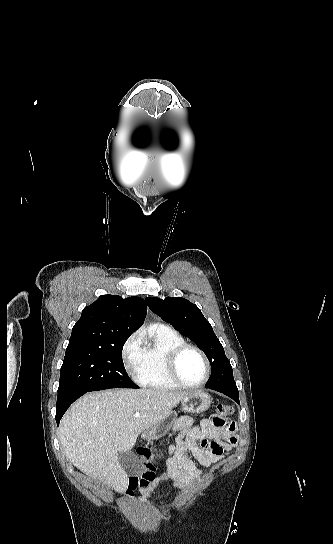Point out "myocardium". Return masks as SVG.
I'll use <instances>...</instances> for the list:
<instances>
[{"label":"myocardium","instance_id":"f54148a6","mask_svg":"<svg viewBox=\"0 0 333 544\" xmlns=\"http://www.w3.org/2000/svg\"><path fill=\"white\" fill-rule=\"evenodd\" d=\"M188 351H194L197 354L200 355V357L203 359L205 367H206V375L204 379L197 383V384H189L186 383L179 374V362L182 356L188 352ZM166 370L169 378L178 386L187 388V389H197L202 386H204L210 379L211 376V364L207 357V355L197 346L183 343L175 348H173L167 355L166 358Z\"/></svg>","mask_w":333,"mask_h":544}]
</instances>
